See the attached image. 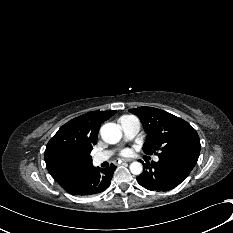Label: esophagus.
Segmentation results:
<instances>
[{"instance_id": "1", "label": "esophagus", "mask_w": 233, "mask_h": 233, "mask_svg": "<svg viewBox=\"0 0 233 233\" xmlns=\"http://www.w3.org/2000/svg\"><path fill=\"white\" fill-rule=\"evenodd\" d=\"M132 160L131 159H123L121 162L125 163V162H131Z\"/></svg>"}]
</instances>
